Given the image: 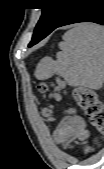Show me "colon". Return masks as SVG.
<instances>
[{
  "instance_id": "colon-1",
  "label": "colon",
  "mask_w": 104,
  "mask_h": 169,
  "mask_svg": "<svg viewBox=\"0 0 104 169\" xmlns=\"http://www.w3.org/2000/svg\"><path fill=\"white\" fill-rule=\"evenodd\" d=\"M64 85L57 83L55 86L56 92L53 98L56 101L60 100L58 91L62 90ZM38 91L45 93L49 89L47 83H40L37 87ZM73 97L77 105L84 111L85 115L89 119L90 124L101 134L104 133V110L101 101L97 94L84 87H76L73 89Z\"/></svg>"
}]
</instances>
